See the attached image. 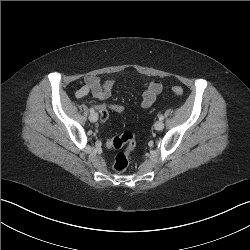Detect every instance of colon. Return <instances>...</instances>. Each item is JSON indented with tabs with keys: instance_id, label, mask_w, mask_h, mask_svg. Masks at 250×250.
<instances>
[{
	"instance_id": "5ec220e1",
	"label": "colon",
	"mask_w": 250,
	"mask_h": 250,
	"mask_svg": "<svg viewBox=\"0 0 250 250\" xmlns=\"http://www.w3.org/2000/svg\"><path fill=\"white\" fill-rule=\"evenodd\" d=\"M172 91L181 96L183 94L182 87L175 85L172 87ZM111 109L118 116H123L125 112V107L118 105L117 103L111 104ZM109 117L108 109L105 105L102 106L100 110V120L102 123L106 122ZM100 142L104 144L107 150L112 149H123L120 151L114 159L113 169L117 173H123L129 165V157L136 146L135 136L131 132H125L121 135L109 138L107 135H102L100 137Z\"/></svg>"
}]
</instances>
